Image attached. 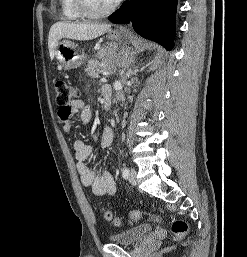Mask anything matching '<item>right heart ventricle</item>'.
Segmentation results:
<instances>
[{"label":"right heart ventricle","mask_w":247,"mask_h":257,"mask_svg":"<svg viewBox=\"0 0 247 257\" xmlns=\"http://www.w3.org/2000/svg\"><path fill=\"white\" fill-rule=\"evenodd\" d=\"M62 18L65 20H79L84 18L78 11L75 0H59Z\"/></svg>","instance_id":"right-heart-ventricle-1"}]
</instances>
